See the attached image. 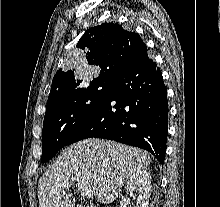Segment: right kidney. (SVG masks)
Masks as SVG:
<instances>
[{
	"label": "right kidney",
	"instance_id": "1",
	"mask_svg": "<svg viewBox=\"0 0 220 207\" xmlns=\"http://www.w3.org/2000/svg\"><path fill=\"white\" fill-rule=\"evenodd\" d=\"M137 188L138 195L136 207H148V201L151 192V177L146 170H140L134 173L126 183V193H132ZM128 200L124 198L120 207H127Z\"/></svg>",
	"mask_w": 220,
	"mask_h": 207
}]
</instances>
